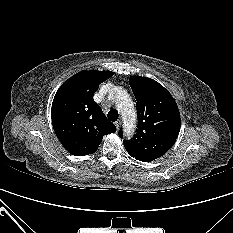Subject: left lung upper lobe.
<instances>
[{"mask_svg": "<svg viewBox=\"0 0 233 233\" xmlns=\"http://www.w3.org/2000/svg\"><path fill=\"white\" fill-rule=\"evenodd\" d=\"M137 100L136 134L124 146L130 156L150 162L164 155L175 143L180 131V113L169 91L157 81L140 76L129 79ZM122 138V130L119 131Z\"/></svg>", "mask_w": 233, "mask_h": 233, "instance_id": "5c2ea615", "label": "left lung upper lobe"}]
</instances>
